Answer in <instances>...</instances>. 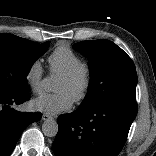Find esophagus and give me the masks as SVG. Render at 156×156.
Masks as SVG:
<instances>
[{"label":"esophagus","mask_w":156,"mask_h":156,"mask_svg":"<svg viewBox=\"0 0 156 156\" xmlns=\"http://www.w3.org/2000/svg\"><path fill=\"white\" fill-rule=\"evenodd\" d=\"M42 119H43V120H49V119H52V116H50L49 114L44 113V114L42 115Z\"/></svg>","instance_id":"34e87169"}]
</instances>
